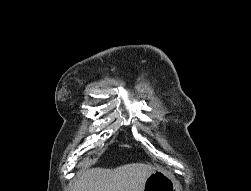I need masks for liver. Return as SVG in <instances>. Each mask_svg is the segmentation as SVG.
I'll return each instance as SVG.
<instances>
[{
	"label": "liver",
	"mask_w": 251,
	"mask_h": 191,
	"mask_svg": "<svg viewBox=\"0 0 251 191\" xmlns=\"http://www.w3.org/2000/svg\"><path fill=\"white\" fill-rule=\"evenodd\" d=\"M154 169L147 163H126L114 169L92 167L73 183L72 191H143L146 177Z\"/></svg>",
	"instance_id": "liver-1"
}]
</instances>
